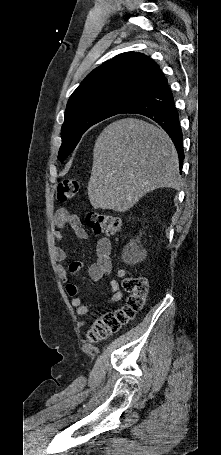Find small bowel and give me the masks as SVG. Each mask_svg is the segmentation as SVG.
<instances>
[{"instance_id":"small-bowel-1","label":"small bowel","mask_w":221,"mask_h":455,"mask_svg":"<svg viewBox=\"0 0 221 455\" xmlns=\"http://www.w3.org/2000/svg\"><path fill=\"white\" fill-rule=\"evenodd\" d=\"M54 222L56 228L53 230V236L58 240H62L61 229L71 228L74 230L78 238L88 240L89 235L84 229L79 217L76 214L69 213L64 209H60L55 217ZM111 243L107 238H100L96 241V255L97 260L88 268V275L93 281H101L108 279V284L111 289L112 295L110 303L114 304L122 299V292L120 291L119 284L116 280L110 279V272L112 269L111 261ZM53 255L57 261H64L67 254L64 249L59 246L53 248ZM83 269L81 262H71L68 266L61 269L62 277L67 280L69 274H75ZM66 292L71 297V305L75 308L78 315H85L91 312V307L84 304L83 299L78 296L79 287L74 283L66 284Z\"/></svg>"}]
</instances>
